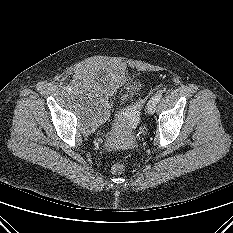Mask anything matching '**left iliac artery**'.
Masks as SVG:
<instances>
[{"instance_id":"obj_1","label":"left iliac artery","mask_w":233,"mask_h":233,"mask_svg":"<svg viewBox=\"0 0 233 233\" xmlns=\"http://www.w3.org/2000/svg\"><path fill=\"white\" fill-rule=\"evenodd\" d=\"M161 98H162V92H158L153 96L152 100L157 104V102H159Z\"/></svg>"}]
</instances>
